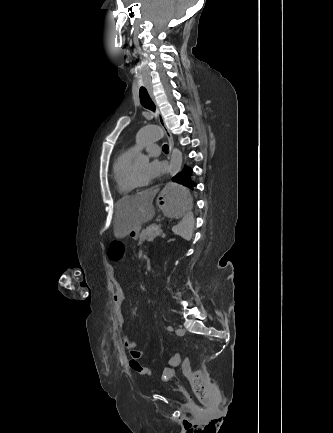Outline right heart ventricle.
I'll list each match as a JSON object with an SVG mask.
<instances>
[{
  "label": "right heart ventricle",
  "instance_id": "obj_1",
  "mask_svg": "<svg viewBox=\"0 0 333 433\" xmlns=\"http://www.w3.org/2000/svg\"><path fill=\"white\" fill-rule=\"evenodd\" d=\"M133 151L131 149L121 151L113 164V180L120 195L126 196L132 188L126 182V173L132 163Z\"/></svg>",
  "mask_w": 333,
  "mask_h": 433
}]
</instances>
